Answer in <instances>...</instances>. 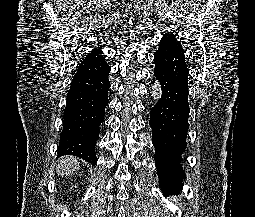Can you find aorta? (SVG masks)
I'll list each match as a JSON object with an SVG mask.
<instances>
[{
	"label": "aorta",
	"instance_id": "762f6f07",
	"mask_svg": "<svg viewBox=\"0 0 255 217\" xmlns=\"http://www.w3.org/2000/svg\"><path fill=\"white\" fill-rule=\"evenodd\" d=\"M152 97L153 100L159 101L162 97V89L159 81H155L154 84L152 85Z\"/></svg>",
	"mask_w": 255,
	"mask_h": 217
}]
</instances>
